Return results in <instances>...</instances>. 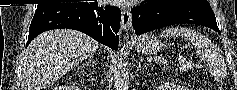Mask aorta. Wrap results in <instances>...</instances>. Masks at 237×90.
Segmentation results:
<instances>
[{
	"mask_svg": "<svg viewBox=\"0 0 237 90\" xmlns=\"http://www.w3.org/2000/svg\"><path fill=\"white\" fill-rule=\"evenodd\" d=\"M114 90H129V74L121 58H116L113 64Z\"/></svg>",
	"mask_w": 237,
	"mask_h": 90,
	"instance_id": "1",
	"label": "aorta"
}]
</instances>
